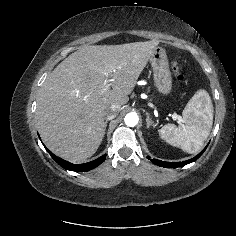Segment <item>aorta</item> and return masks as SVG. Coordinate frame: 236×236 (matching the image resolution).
Returning <instances> with one entry per match:
<instances>
[{"instance_id":"762f6f07","label":"aorta","mask_w":236,"mask_h":236,"mask_svg":"<svg viewBox=\"0 0 236 236\" xmlns=\"http://www.w3.org/2000/svg\"><path fill=\"white\" fill-rule=\"evenodd\" d=\"M138 121H139L138 115L136 113H133V112L128 113L124 118L125 124L129 127L136 126Z\"/></svg>"}]
</instances>
